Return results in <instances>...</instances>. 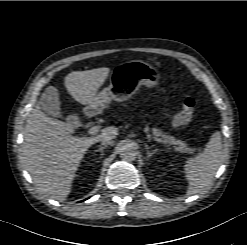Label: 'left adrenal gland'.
Returning <instances> with one entry per match:
<instances>
[{"label":"left adrenal gland","mask_w":247,"mask_h":245,"mask_svg":"<svg viewBox=\"0 0 247 245\" xmlns=\"http://www.w3.org/2000/svg\"><path fill=\"white\" fill-rule=\"evenodd\" d=\"M145 148H146L147 159H149L155 153V151H150L149 150L150 147L147 144H145Z\"/></svg>","instance_id":"obj_1"}]
</instances>
